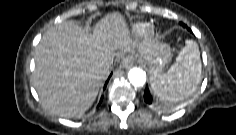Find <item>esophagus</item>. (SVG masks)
I'll return each mask as SVG.
<instances>
[{
	"label": "esophagus",
	"instance_id": "obj_1",
	"mask_svg": "<svg viewBox=\"0 0 236 135\" xmlns=\"http://www.w3.org/2000/svg\"><path fill=\"white\" fill-rule=\"evenodd\" d=\"M135 62V58L131 55L126 56L123 60H122V67H129L132 66Z\"/></svg>",
	"mask_w": 236,
	"mask_h": 135
}]
</instances>
